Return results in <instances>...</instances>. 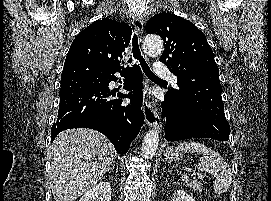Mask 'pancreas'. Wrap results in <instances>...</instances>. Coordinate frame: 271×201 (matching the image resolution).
<instances>
[{"instance_id": "cf45deb5", "label": "pancreas", "mask_w": 271, "mask_h": 201, "mask_svg": "<svg viewBox=\"0 0 271 201\" xmlns=\"http://www.w3.org/2000/svg\"><path fill=\"white\" fill-rule=\"evenodd\" d=\"M192 187L194 188V190L201 192L202 191V187H201V183L194 181L192 183Z\"/></svg>"}]
</instances>
